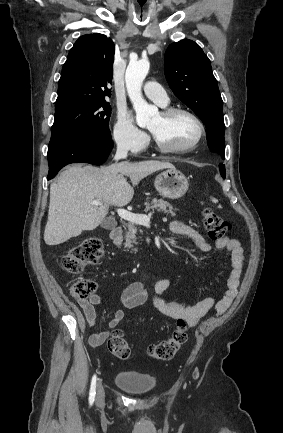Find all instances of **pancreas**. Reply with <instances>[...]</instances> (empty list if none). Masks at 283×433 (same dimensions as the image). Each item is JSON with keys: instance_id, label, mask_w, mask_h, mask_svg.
<instances>
[{"instance_id": "1", "label": "pancreas", "mask_w": 283, "mask_h": 433, "mask_svg": "<svg viewBox=\"0 0 283 433\" xmlns=\"http://www.w3.org/2000/svg\"><path fill=\"white\" fill-rule=\"evenodd\" d=\"M150 208H157L158 212H161V210L162 212H167V214H171V217H175L174 210H179V208H173L172 204L167 202V200H163V198H153L151 202H145V212L150 210ZM127 227L128 231L125 235V247H127V249H131V253H137V249H132V243H135L137 239L136 235L138 227H136L135 223H129Z\"/></svg>"}]
</instances>
